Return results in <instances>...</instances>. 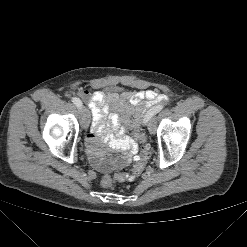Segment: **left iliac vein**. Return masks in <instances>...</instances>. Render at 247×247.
Segmentation results:
<instances>
[{
  "label": "left iliac vein",
  "mask_w": 247,
  "mask_h": 247,
  "mask_svg": "<svg viewBox=\"0 0 247 247\" xmlns=\"http://www.w3.org/2000/svg\"><path fill=\"white\" fill-rule=\"evenodd\" d=\"M145 124L148 126V129L151 133L155 131L156 123L153 118H150Z\"/></svg>",
  "instance_id": "left-iliac-vein-1"
}]
</instances>
